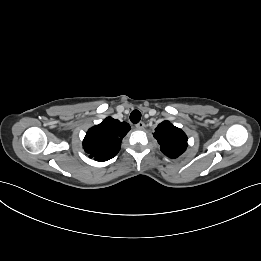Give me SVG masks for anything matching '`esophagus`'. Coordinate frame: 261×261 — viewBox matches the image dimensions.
Instances as JSON below:
<instances>
[{"label": "esophagus", "instance_id": "obj_1", "mask_svg": "<svg viewBox=\"0 0 261 261\" xmlns=\"http://www.w3.org/2000/svg\"><path fill=\"white\" fill-rule=\"evenodd\" d=\"M144 127H145V123L142 121H140L139 123L136 124V128L138 130H142V129H144Z\"/></svg>", "mask_w": 261, "mask_h": 261}]
</instances>
